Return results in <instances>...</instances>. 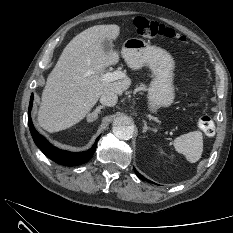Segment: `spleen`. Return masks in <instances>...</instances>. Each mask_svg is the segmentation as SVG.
<instances>
[{"label":"spleen","mask_w":233,"mask_h":233,"mask_svg":"<svg viewBox=\"0 0 233 233\" xmlns=\"http://www.w3.org/2000/svg\"><path fill=\"white\" fill-rule=\"evenodd\" d=\"M173 145L178 153L183 154L190 163L197 162L203 152V136L200 131L183 134L174 139Z\"/></svg>","instance_id":"1"}]
</instances>
